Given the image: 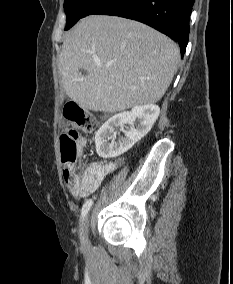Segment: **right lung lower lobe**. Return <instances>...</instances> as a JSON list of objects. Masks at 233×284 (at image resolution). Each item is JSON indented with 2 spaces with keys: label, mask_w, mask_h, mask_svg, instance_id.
I'll use <instances>...</instances> for the list:
<instances>
[{
  "label": "right lung lower lobe",
  "mask_w": 233,
  "mask_h": 284,
  "mask_svg": "<svg viewBox=\"0 0 233 284\" xmlns=\"http://www.w3.org/2000/svg\"><path fill=\"white\" fill-rule=\"evenodd\" d=\"M194 0H107L91 14L114 15L143 22L178 42L184 56Z\"/></svg>",
  "instance_id": "obj_1"
}]
</instances>
